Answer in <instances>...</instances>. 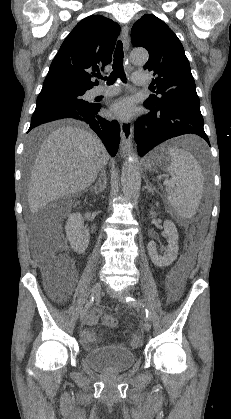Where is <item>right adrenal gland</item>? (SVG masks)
<instances>
[{
  "label": "right adrenal gland",
  "mask_w": 231,
  "mask_h": 419,
  "mask_svg": "<svg viewBox=\"0 0 231 419\" xmlns=\"http://www.w3.org/2000/svg\"><path fill=\"white\" fill-rule=\"evenodd\" d=\"M106 184H107V178L104 177L102 181L97 183L90 190H91V192H94L95 194L102 193L106 188Z\"/></svg>",
  "instance_id": "1"
}]
</instances>
